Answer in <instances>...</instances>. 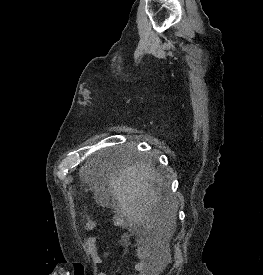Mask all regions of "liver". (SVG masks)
<instances>
[{"label":"liver","instance_id":"6515ba94","mask_svg":"<svg viewBox=\"0 0 263 275\" xmlns=\"http://www.w3.org/2000/svg\"><path fill=\"white\" fill-rule=\"evenodd\" d=\"M89 173L87 166L80 170L81 176ZM108 182L117 211L129 222L151 227L165 221L175 227L177 205L163 196V177L150 163H127L110 172Z\"/></svg>","mask_w":263,"mask_h":275}]
</instances>
